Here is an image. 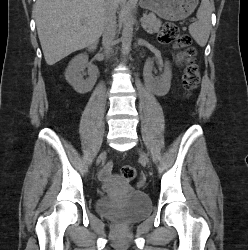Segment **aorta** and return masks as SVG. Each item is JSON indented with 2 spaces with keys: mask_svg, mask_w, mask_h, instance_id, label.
<instances>
[{
  "mask_svg": "<svg viewBox=\"0 0 248 250\" xmlns=\"http://www.w3.org/2000/svg\"><path fill=\"white\" fill-rule=\"evenodd\" d=\"M133 25H134V19H133L132 7L128 6L124 17L123 31L121 37L122 53L124 56H127L131 50Z\"/></svg>",
  "mask_w": 248,
  "mask_h": 250,
  "instance_id": "762f6f07",
  "label": "aorta"
}]
</instances>
